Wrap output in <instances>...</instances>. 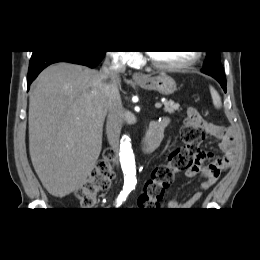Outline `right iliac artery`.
<instances>
[{"instance_id": "obj_1", "label": "right iliac artery", "mask_w": 260, "mask_h": 260, "mask_svg": "<svg viewBox=\"0 0 260 260\" xmlns=\"http://www.w3.org/2000/svg\"><path fill=\"white\" fill-rule=\"evenodd\" d=\"M130 191H131L130 187H123V190L121 191V193L117 197L115 204L117 206L121 205L126 200Z\"/></svg>"}]
</instances>
